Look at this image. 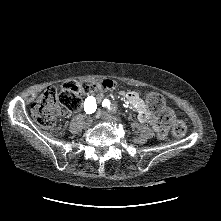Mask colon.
Wrapping results in <instances>:
<instances>
[{"label":"colon","mask_w":221,"mask_h":221,"mask_svg":"<svg viewBox=\"0 0 221 221\" xmlns=\"http://www.w3.org/2000/svg\"><path fill=\"white\" fill-rule=\"evenodd\" d=\"M115 83L111 79H104L99 82L71 80L64 83L58 90L55 87L47 88L31 106V114L35 121L43 129L51 130L55 128L57 117L62 112V107L69 111H78L82 106L84 94L96 91H111ZM146 101L150 108L158 114L159 129L158 138L166 139L167 126L173 123V133L181 138L186 133V125L182 120H174L173 113L167 107L162 95L149 92L146 94Z\"/></svg>","instance_id":"5ec220e1"}]
</instances>
